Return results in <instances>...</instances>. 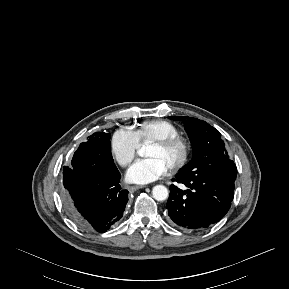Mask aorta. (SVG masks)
I'll return each instance as SVG.
<instances>
[{
	"mask_svg": "<svg viewBox=\"0 0 289 289\" xmlns=\"http://www.w3.org/2000/svg\"><path fill=\"white\" fill-rule=\"evenodd\" d=\"M153 198L157 201H164L168 198V189L163 185H156L152 189Z\"/></svg>",
	"mask_w": 289,
	"mask_h": 289,
	"instance_id": "aorta-1",
	"label": "aorta"
}]
</instances>
